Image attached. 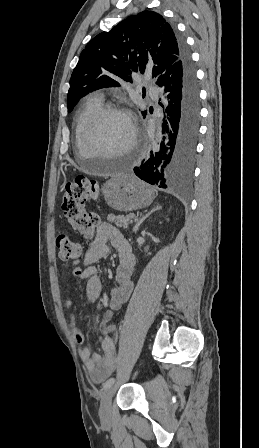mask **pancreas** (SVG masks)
Segmentation results:
<instances>
[{
  "instance_id": "obj_1",
  "label": "pancreas",
  "mask_w": 259,
  "mask_h": 448,
  "mask_svg": "<svg viewBox=\"0 0 259 448\" xmlns=\"http://www.w3.org/2000/svg\"><path fill=\"white\" fill-rule=\"evenodd\" d=\"M134 217V214H127V216H114V214H109L107 220L111 224H115L117 228H129L130 221Z\"/></svg>"
}]
</instances>
